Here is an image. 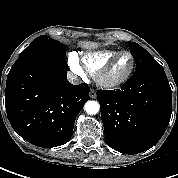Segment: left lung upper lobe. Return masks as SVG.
Returning a JSON list of instances; mask_svg holds the SVG:
<instances>
[{
    "instance_id": "left-lung-upper-lobe-1",
    "label": "left lung upper lobe",
    "mask_w": 178,
    "mask_h": 178,
    "mask_svg": "<svg viewBox=\"0 0 178 178\" xmlns=\"http://www.w3.org/2000/svg\"><path fill=\"white\" fill-rule=\"evenodd\" d=\"M130 52L136 62L134 74H138L149 69L162 67L143 47L135 42H128Z\"/></svg>"
}]
</instances>
